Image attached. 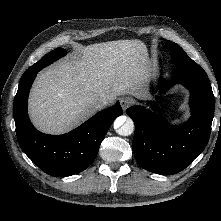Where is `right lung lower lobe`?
Masks as SVG:
<instances>
[{"mask_svg": "<svg viewBox=\"0 0 221 221\" xmlns=\"http://www.w3.org/2000/svg\"><path fill=\"white\" fill-rule=\"evenodd\" d=\"M41 68L21 77L14 99V119L24 153L51 176H70L85 170L95 159L114 119L122 114L120 103L98 112L81 126L63 135H47L34 128L27 113L31 85Z\"/></svg>", "mask_w": 221, "mask_h": 221, "instance_id": "1", "label": "right lung lower lobe"}]
</instances>
